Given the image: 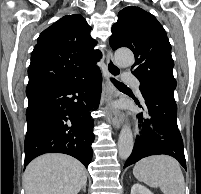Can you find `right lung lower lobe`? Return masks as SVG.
I'll use <instances>...</instances> for the list:
<instances>
[{
	"mask_svg": "<svg viewBox=\"0 0 201 194\" xmlns=\"http://www.w3.org/2000/svg\"><path fill=\"white\" fill-rule=\"evenodd\" d=\"M101 82L98 70L72 84L27 86L25 166L39 155L64 153L88 167L94 141V121L90 112L99 105Z\"/></svg>",
	"mask_w": 201,
	"mask_h": 194,
	"instance_id": "98d812e1",
	"label": "right lung lower lobe"
}]
</instances>
